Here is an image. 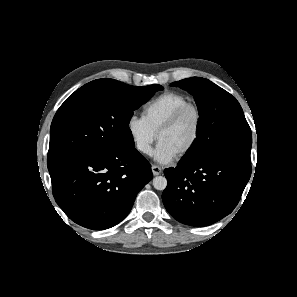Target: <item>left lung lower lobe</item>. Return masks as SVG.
Segmentation results:
<instances>
[{
  "label": "left lung lower lobe",
  "instance_id": "left-lung-lower-lobe-1",
  "mask_svg": "<svg viewBox=\"0 0 297 297\" xmlns=\"http://www.w3.org/2000/svg\"><path fill=\"white\" fill-rule=\"evenodd\" d=\"M168 185L162 200L179 222L213 224L233 211L250 179L251 164L223 156L181 160L164 170Z\"/></svg>",
  "mask_w": 297,
  "mask_h": 297
}]
</instances>
